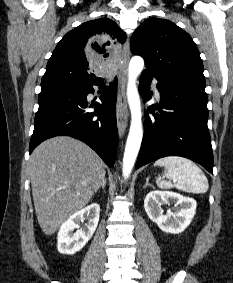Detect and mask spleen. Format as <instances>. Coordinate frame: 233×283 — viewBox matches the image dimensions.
Masks as SVG:
<instances>
[{"mask_svg":"<svg viewBox=\"0 0 233 283\" xmlns=\"http://www.w3.org/2000/svg\"><path fill=\"white\" fill-rule=\"evenodd\" d=\"M154 166L164 167L165 178H156V184L161 189L177 188L189 193H205L209 188L208 180L202 170L191 160L178 156H168L158 159ZM171 180L176 181L172 183Z\"/></svg>","mask_w":233,"mask_h":283,"instance_id":"1","label":"spleen"}]
</instances>
